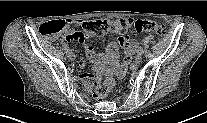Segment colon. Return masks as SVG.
I'll use <instances>...</instances> for the list:
<instances>
[{
  "label": "colon",
  "mask_w": 207,
  "mask_h": 123,
  "mask_svg": "<svg viewBox=\"0 0 207 123\" xmlns=\"http://www.w3.org/2000/svg\"><path fill=\"white\" fill-rule=\"evenodd\" d=\"M117 24L121 27L125 34H128L130 29L133 28L137 33H154L162 35L164 33V26L162 24L149 21L137 20L132 22L130 19H120ZM113 25V21L107 19H94L85 21L82 24L83 33L77 35L86 36H101L108 32ZM64 22L62 20H54L42 23L39 26V33L43 36H54L62 31ZM124 36L120 37V44L124 41ZM116 86V81L113 78H107L101 82L93 84V93L96 98H104L111 93Z\"/></svg>",
  "instance_id": "1"
}]
</instances>
